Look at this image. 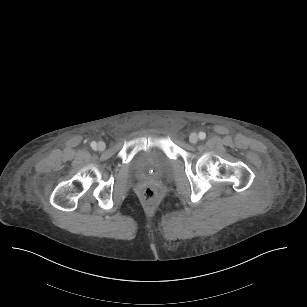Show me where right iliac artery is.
I'll list each match as a JSON object with an SVG mask.
<instances>
[{"mask_svg":"<svg viewBox=\"0 0 307 307\" xmlns=\"http://www.w3.org/2000/svg\"><path fill=\"white\" fill-rule=\"evenodd\" d=\"M96 145H97L96 142L91 143V147L94 148V149L96 148Z\"/></svg>","mask_w":307,"mask_h":307,"instance_id":"right-iliac-artery-1","label":"right iliac artery"}]
</instances>
